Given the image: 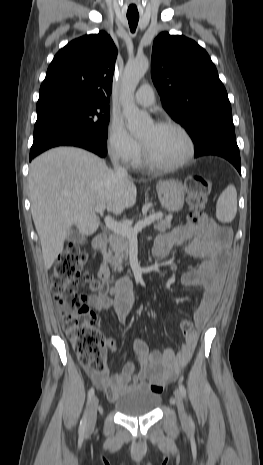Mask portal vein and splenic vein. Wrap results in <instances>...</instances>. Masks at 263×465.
Instances as JSON below:
<instances>
[{
	"label": "portal vein and splenic vein",
	"mask_w": 263,
	"mask_h": 465,
	"mask_svg": "<svg viewBox=\"0 0 263 465\" xmlns=\"http://www.w3.org/2000/svg\"><path fill=\"white\" fill-rule=\"evenodd\" d=\"M106 208L105 204H97L94 208V211L96 213L102 214ZM162 217V213H157V214H152L148 216L146 219L139 221L134 227H131L128 224H123L116 222L114 219H112L109 216H106L104 218L105 225L106 227L118 234H122L129 239H135L137 238V234L139 231H141L143 228L146 226H149L152 224L155 220L159 219Z\"/></svg>",
	"instance_id": "1"
}]
</instances>
